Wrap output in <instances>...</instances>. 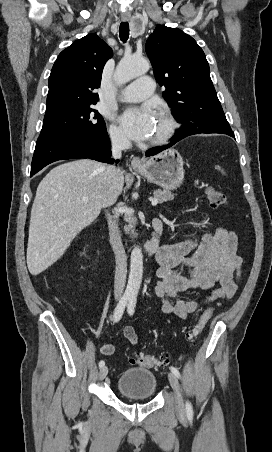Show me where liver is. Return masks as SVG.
Here are the masks:
<instances>
[{
	"instance_id": "obj_1",
	"label": "liver",
	"mask_w": 272,
	"mask_h": 452,
	"mask_svg": "<svg viewBox=\"0 0 272 452\" xmlns=\"http://www.w3.org/2000/svg\"><path fill=\"white\" fill-rule=\"evenodd\" d=\"M106 167L95 160L80 159L56 166L42 179L29 226L27 266L32 275L60 259L77 234L121 194L124 175L119 170L109 188L115 199L106 197Z\"/></svg>"
}]
</instances>
